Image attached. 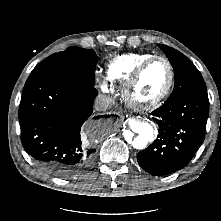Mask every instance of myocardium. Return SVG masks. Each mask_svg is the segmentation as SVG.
<instances>
[{
    "instance_id": "obj_1",
    "label": "myocardium",
    "mask_w": 221,
    "mask_h": 221,
    "mask_svg": "<svg viewBox=\"0 0 221 221\" xmlns=\"http://www.w3.org/2000/svg\"><path fill=\"white\" fill-rule=\"evenodd\" d=\"M161 60L163 61L168 68L169 72V79L167 85L165 86L164 90L155 98L148 100V101H140L134 95V88L140 78L142 77L143 73L146 69L155 61ZM175 83V72L171 61L161 55H154L145 61H143L137 69L133 72V74L123 83L122 87V96L124 101L128 106L138 110H150L156 108L160 104H162L171 94Z\"/></svg>"
}]
</instances>
